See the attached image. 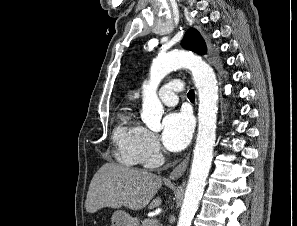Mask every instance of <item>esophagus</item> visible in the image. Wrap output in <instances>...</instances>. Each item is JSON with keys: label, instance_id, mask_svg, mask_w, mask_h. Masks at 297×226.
Wrapping results in <instances>:
<instances>
[{"label": "esophagus", "instance_id": "1", "mask_svg": "<svg viewBox=\"0 0 297 226\" xmlns=\"http://www.w3.org/2000/svg\"><path fill=\"white\" fill-rule=\"evenodd\" d=\"M189 156L188 154L185 159L173 169L169 175V180H176L184 174L189 163Z\"/></svg>", "mask_w": 297, "mask_h": 226}]
</instances>
